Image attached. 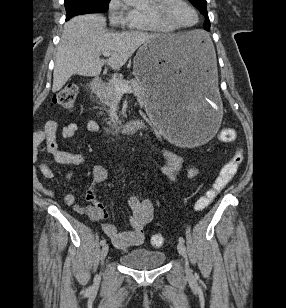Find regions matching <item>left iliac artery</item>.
Wrapping results in <instances>:
<instances>
[{
  "label": "left iliac artery",
  "mask_w": 286,
  "mask_h": 308,
  "mask_svg": "<svg viewBox=\"0 0 286 308\" xmlns=\"http://www.w3.org/2000/svg\"><path fill=\"white\" fill-rule=\"evenodd\" d=\"M179 242L185 243V240L183 237H179Z\"/></svg>",
  "instance_id": "obj_1"
}]
</instances>
